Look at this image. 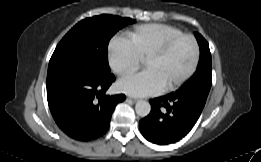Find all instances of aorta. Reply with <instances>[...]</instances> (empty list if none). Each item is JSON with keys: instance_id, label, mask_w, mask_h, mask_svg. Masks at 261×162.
I'll return each mask as SVG.
<instances>
[{"instance_id": "1", "label": "aorta", "mask_w": 261, "mask_h": 162, "mask_svg": "<svg viewBox=\"0 0 261 162\" xmlns=\"http://www.w3.org/2000/svg\"><path fill=\"white\" fill-rule=\"evenodd\" d=\"M135 111L140 117H146L151 111V105L145 100H140L135 105Z\"/></svg>"}]
</instances>
